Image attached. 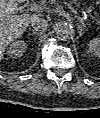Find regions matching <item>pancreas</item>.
Returning <instances> with one entry per match:
<instances>
[{
  "label": "pancreas",
  "mask_w": 100,
  "mask_h": 118,
  "mask_svg": "<svg viewBox=\"0 0 100 118\" xmlns=\"http://www.w3.org/2000/svg\"><path fill=\"white\" fill-rule=\"evenodd\" d=\"M57 0H51V3H56ZM74 1H77V0H74Z\"/></svg>",
  "instance_id": "1"
}]
</instances>
